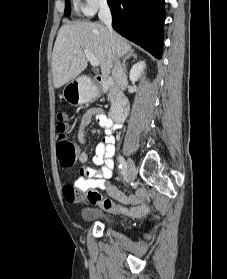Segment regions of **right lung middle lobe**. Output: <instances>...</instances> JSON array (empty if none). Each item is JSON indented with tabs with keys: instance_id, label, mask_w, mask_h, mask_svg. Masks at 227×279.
Listing matches in <instances>:
<instances>
[{
	"instance_id": "right-lung-middle-lobe-1",
	"label": "right lung middle lobe",
	"mask_w": 227,
	"mask_h": 279,
	"mask_svg": "<svg viewBox=\"0 0 227 279\" xmlns=\"http://www.w3.org/2000/svg\"><path fill=\"white\" fill-rule=\"evenodd\" d=\"M70 12H71L70 2H69V0H65V12H64V15L65 16H69Z\"/></svg>"
}]
</instances>
